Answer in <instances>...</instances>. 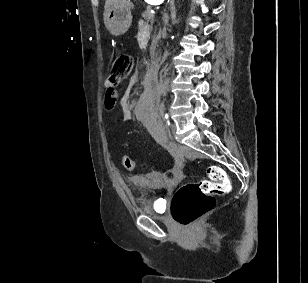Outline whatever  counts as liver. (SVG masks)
<instances>
[{
	"label": "liver",
	"mask_w": 308,
	"mask_h": 283,
	"mask_svg": "<svg viewBox=\"0 0 308 283\" xmlns=\"http://www.w3.org/2000/svg\"><path fill=\"white\" fill-rule=\"evenodd\" d=\"M119 0H106L105 2V10L112 4L117 3Z\"/></svg>",
	"instance_id": "obj_1"
}]
</instances>
